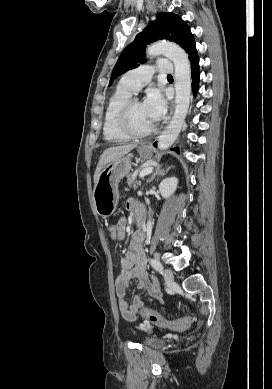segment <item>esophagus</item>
Instances as JSON below:
<instances>
[{
    "mask_svg": "<svg viewBox=\"0 0 272 389\" xmlns=\"http://www.w3.org/2000/svg\"><path fill=\"white\" fill-rule=\"evenodd\" d=\"M173 110H174V101L171 102L170 104V113H169V118L168 120H170L172 114H173Z\"/></svg>",
    "mask_w": 272,
    "mask_h": 389,
    "instance_id": "esophagus-1",
    "label": "esophagus"
}]
</instances>
